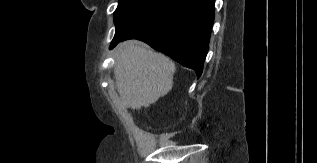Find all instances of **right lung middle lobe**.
I'll return each instance as SVG.
<instances>
[{
	"label": "right lung middle lobe",
	"mask_w": 317,
	"mask_h": 163,
	"mask_svg": "<svg viewBox=\"0 0 317 163\" xmlns=\"http://www.w3.org/2000/svg\"><path fill=\"white\" fill-rule=\"evenodd\" d=\"M175 0H119L114 12L113 41L143 27L160 16ZM112 41V42H113Z\"/></svg>",
	"instance_id": "right-lung-middle-lobe-1"
}]
</instances>
